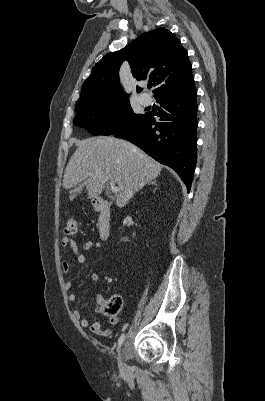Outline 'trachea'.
Returning <instances> with one entry per match:
<instances>
[{
	"mask_svg": "<svg viewBox=\"0 0 265 401\" xmlns=\"http://www.w3.org/2000/svg\"><path fill=\"white\" fill-rule=\"evenodd\" d=\"M148 88H152V83H148Z\"/></svg>",
	"mask_w": 265,
	"mask_h": 401,
	"instance_id": "3493384b",
	"label": "trachea"
}]
</instances>
